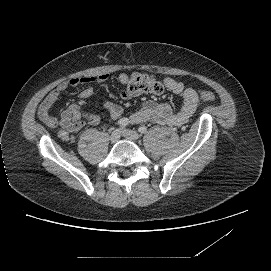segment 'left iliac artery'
<instances>
[{
    "label": "left iliac artery",
    "instance_id": "left-iliac-artery-1",
    "mask_svg": "<svg viewBox=\"0 0 271 271\" xmlns=\"http://www.w3.org/2000/svg\"><path fill=\"white\" fill-rule=\"evenodd\" d=\"M138 131L141 133V134H144L147 132V128L145 126H141L138 128Z\"/></svg>",
    "mask_w": 271,
    "mask_h": 271
}]
</instances>
